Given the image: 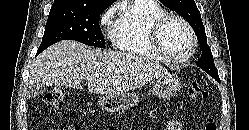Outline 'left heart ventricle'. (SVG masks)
I'll use <instances>...</instances> for the list:
<instances>
[{
    "label": "left heart ventricle",
    "mask_w": 249,
    "mask_h": 130,
    "mask_svg": "<svg viewBox=\"0 0 249 130\" xmlns=\"http://www.w3.org/2000/svg\"><path fill=\"white\" fill-rule=\"evenodd\" d=\"M162 42L167 53L177 58L185 56L191 47V39L187 30L176 20H171L165 26Z\"/></svg>",
    "instance_id": "1"
}]
</instances>
